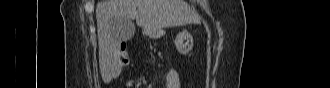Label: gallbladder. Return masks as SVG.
Listing matches in <instances>:
<instances>
[{
    "mask_svg": "<svg viewBox=\"0 0 330 88\" xmlns=\"http://www.w3.org/2000/svg\"><path fill=\"white\" fill-rule=\"evenodd\" d=\"M115 32L119 34L120 41H128L135 32V26L132 21H125L115 25Z\"/></svg>",
    "mask_w": 330,
    "mask_h": 88,
    "instance_id": "1",
    "label": "gallbladder"
}]
</instances>
